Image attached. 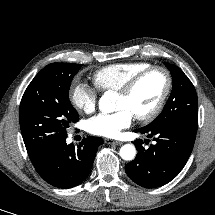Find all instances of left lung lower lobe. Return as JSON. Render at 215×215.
Returning a JSON list of instances; mask_svg holds the SVG:
<instances>
[{
  "label": "left lung lower lobe",
  "instance_id": "0a47b994",
  "mask_svg": "<svg viewBox=\"0 0 215 215\" xmlns=\"http://www.w3.org/2000/svg\"><path fill=\"white\" fill-rule=\"evenodd\" d=\"M135 132L147 134L148 138L154 136L156 143L144 148L143 141L137 139L134 144L138 154L126 164V173L138 185L155 188L167 184L182 170L191 154L197 131L168 124L143 127Z\"/></svg>",
  "mask_w": 215,
  "mask_h": 215
}]
</instances>
